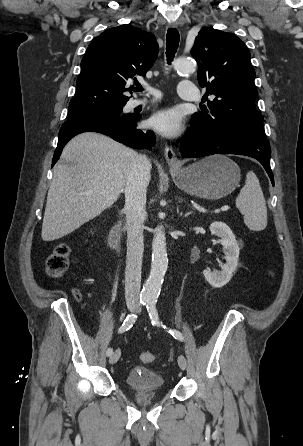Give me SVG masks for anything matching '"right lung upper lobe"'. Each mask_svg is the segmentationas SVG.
<instances>
[{"label": "right lung upper lobe", "instance_id": "right-lung-upper-lobe-1", "mask_svg": "<svg viewBox=\"0 0 303 446\" xmlns=\"http://www.w3.org/2000/svg\"><path fill=\"white\" fill-rule=\"evenodd\" d=\"M158 44L155 37L129 24L106 30L89 45L81 61L76 95L69 107L86 112L126 104L124 92L133 77L153 66Z\"/></svg>", "mask_w": 303, "mask_h": 446}]
</instances>
